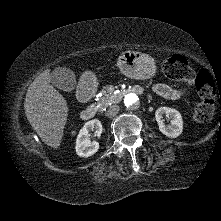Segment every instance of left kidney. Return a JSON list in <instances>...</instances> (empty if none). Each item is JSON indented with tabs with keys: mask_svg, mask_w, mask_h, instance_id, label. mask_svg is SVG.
I'll return each instance as SVG.
<instances>
[{
	"mask_svg": "<svg viewBox=\"0 0 221 221\" xmlns=\"http://www.w3.org/2000/svg\"><path fill=\"white\" fill-rule=\"evenodd\" d=\"M171 117V125L165 126L163 123V116ZM155 118L159 125V130L164 135L176 138L183 131V120L181 114L173 108L160 107L155 112Z\"/></svg>",
	"mask_w": 221,
	"mask_h": 221,
	"instance_id": "left-kidney-1",
	"label": "left kidney"
}]
</instances>
